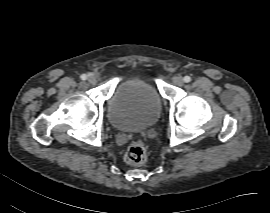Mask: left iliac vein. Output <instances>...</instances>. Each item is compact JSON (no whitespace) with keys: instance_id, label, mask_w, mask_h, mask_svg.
<instances>
[{"instance_id":"left-iliac-vein-1","label":"left iliac vein","mask_w":270,"mask_h":213,"mask_svg":"<svg viewBox=\"0 0 270 213\" xmlns=\"http://www.w3.org/2000/svg\"><path fill=\"white\" fill-rule=\"evenodd\" d=\"M173 83H174L175 85H177V86H182L183 83H184V80H183V78H182L181 76H175V77L173 78Z\"/></svg>"}]
</instances>
